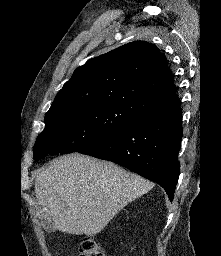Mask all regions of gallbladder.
<instances>
[{
	"label": "gallbladder",
	"mask_w": 221,
	"mask_h": 256,
	"mask_svg": "<svg viewBox=\"0 0 221 256\" xmlns=\"http://www.w3.org/2000/svg\"><path fill=\"white\" fill-rule=\"evenodd\" d=\"M42 223L48 232H54L56 230L55 225L53 223H51L50 221H48L47 219H45V218L42 219Z\"/></svg>",
	"instance_id": "obj_1"
}]
</instances>
